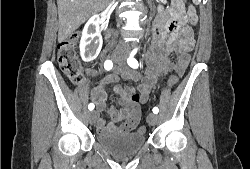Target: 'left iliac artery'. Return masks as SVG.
I'll return each mask as SVG.
<instances>
[{
    "instance_id": "44dca946",
    "label": "left iliac artery",
    "mask_w": 250,
    "mask_h": 169,
    "mask_svg": "<svg viewBox=\"0 0 250 169\" xmlns=\"http://www.w3.org/2000/svg\"><path fill=\"white\" fill-rule=\"evenodd\" d=\"M137 50H134L131 52L129 58L127 59V63L131 68H138L139 64L138 61L134 58V55L136 54ZM153 113L157 114L159 112V109L157 107L153 108Z\"/></svg>"
}]
</instances>
